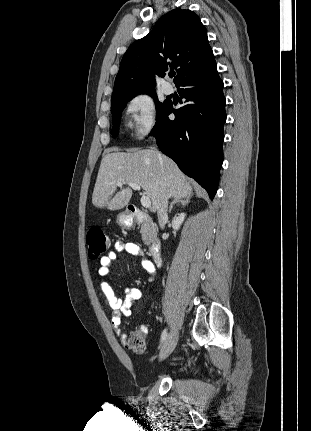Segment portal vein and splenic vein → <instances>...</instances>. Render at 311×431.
<instances>
[{
  "instance_id": "obj_1",
  "label": "portal vein and splenic vein",
  "mask_w": 311,
  "mask_h": 431,
  "mask_svg": "<svg viewBox=\"0 0 311 431\" xmlns=\"http://www.w3.org/2000/svg\"><path fill=\"white\" fill-rule=\"evenodd\" d=\"M123 184H127V186H130L132 190H138V192L141 190V186H139V184H132V182H117V186H119V188H121ZM140 202L143 208H151V200L148 196H141Z\"/></svg>"
}]
</instances>
